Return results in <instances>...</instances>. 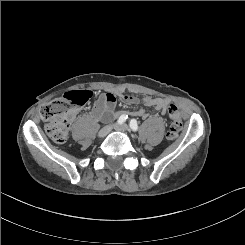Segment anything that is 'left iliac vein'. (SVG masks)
Segmentation results:
<instances>
[{"instance_id":"1","label":"left iliac vein","mask_w":245,"mask_h":245,"mask_svg":"<svg viewBox=\"0 0 245 245\" xmlns=\"http://www.w3.org/2000/svg\"><path fill=\"white\" fill-rule=\"evenodd\" d=\"M116 129L117 130H120V131H129V126L127 124H122L120 126H116Z\"/></svg>"}]
</instances>
